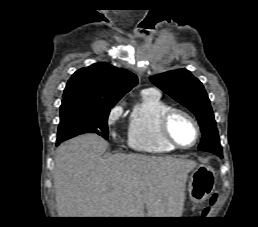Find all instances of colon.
<instances>
[{"mask_svg":"<svg viewBox=\"0 0 258 227\" xmlns=\"http://www.w3.org/2000/svg\"><path fill=\"white\" fill-rule=\"evenodd\" d=\"M216 198H217V195L216 194L213 195L212 198H211V202L213 203L216 200Z\"/></svg>","mask_w":258,"mask_h":227,"instance_id":"5ec220e1","label":"colon"}]
</instances>
